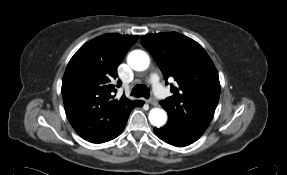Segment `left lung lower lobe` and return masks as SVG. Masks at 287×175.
Returning <instances> with one entry per match:
<instances>
[{
  "label": "left lung lower lobe",
  "instance_id": "left-lung-lower-lobe-1",
  "mask_svg": "<svg viewBox=\"0 0 287 175\" xmlns=\"http://www.w3.org/2000/svg\"><path fill=\"white\" fill-rule=\"evenodd\" d=\"M154 133L164 142L176 147L188 146L199 139L170 121L161 128H154Z\"/></svg>",
  "mask_w": 287,
  "mask_h": 175
}]
</instances>
